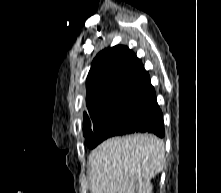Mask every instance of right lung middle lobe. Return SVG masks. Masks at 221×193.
Segmentation results:
<instances>
[{"mask_svg":"<svg viewBox=\"0 0 221 193\" xmlns=\"http://www.w3.org/2000/svg\"><path fill=\"white\" fill-rule=\"evenodd\" d=\"M151 110V102L143 100H121L104 106L84 118L83 134L87 146L94 148L105 139L124 133Z\"/></svg>","mask_w":221,"mask_h":193,"instance_id":"1","label":"right lung middle lobe"}]
</instances>
